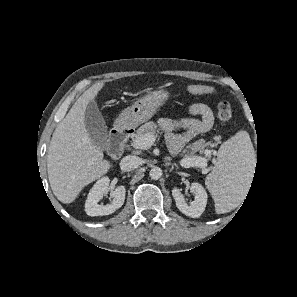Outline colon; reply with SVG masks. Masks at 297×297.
<instances>
[{
    "instance_id": "colon-1",
    "label": "colon",
    "mask_w": 297,
    "mask_h": 297,
    "mask_svg": "<svg viewBox=\"0 0 297 297\" xmlns=\"http://www.w3.org/2000/svg\"><path fill=\"white\" fill-rule=\"evenodd\" d=\"M187 91L192 95L209 93L210 89L203 85L192 84L187 87ZM232 116V108L226 101H222L216 108V118L220 122H227Z\"/></svg>"
}]
</instances>
